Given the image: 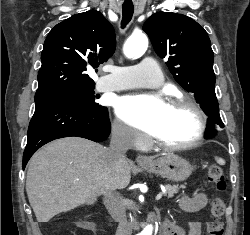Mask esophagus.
Instances as JSON below:
<instances>
[{
	"mask_svg": "<svg viewBox=\"0 0 250 235\" xmlns=\"http://www.w3.org/2000/svg\"><path fill=\"white\" fill-rule=\"evenodd\" d=\"M136 162H137V163H149V162H150V159L147 158V157L144 156V155H138V156L136 157Z\"/></svg>",
	"mask_w": 250,
	"mask_h": 235,
	"instance_id": "34e87169",
	"label": "esophagus"
}]
</instances>
